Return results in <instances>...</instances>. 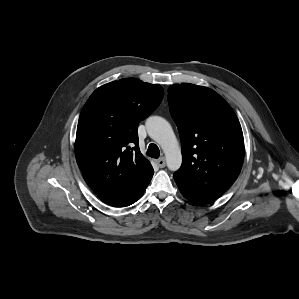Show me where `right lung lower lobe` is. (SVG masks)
I'll return each instance as SVG.
<instances>
[{"instance_id": "right-lung-lower-lobe-1", "label": "right lung lower lobe", "mask_w": 299, "mask_h": 299, "mask_svg": "<svg viewBox=\"0 0 299 299\" xmlns=\"http://www.w3.org/2000/svg\"><path fill=\"white\" fill-rule=\"evenodd\" d=\"M146 188H144L142 191H140L139 193H137L134 196H131L129 198L126 199H122V200H118V201H114V202H105L111 206H115V207H125V206H129L131 204H133L135 201H137L144 193Z\"/></svg>"}]
</instances>
